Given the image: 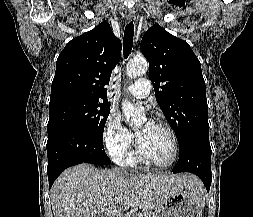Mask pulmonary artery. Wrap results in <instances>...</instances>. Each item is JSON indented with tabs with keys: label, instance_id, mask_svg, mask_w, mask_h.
Returning <instances> with one entry per match:
<instances>
[{
	"label": "pulmonary artery",
	"instance_id": "e3ab8cb5",
	"mask_svg": "<svg viewBox=\"0 0 253 217\" xmlns=\"http://www.w3.org/2000/svg\"><path fill=\"white\" fill-rule=\"evenodd\" d=\"M125 90L136 98L145 99L150 94L151 86L147 79L140 78L134 83L127 86Z\"/></svg>",
	"mask_w": 253,
	"mask_h": 217
}]
</instances>
